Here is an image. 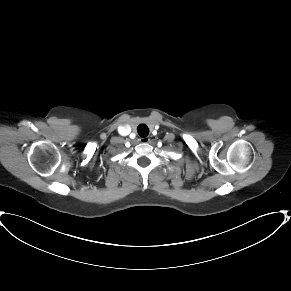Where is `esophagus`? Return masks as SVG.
<instances>
[{
  "label": "esophagus",
  "instance_id": "1",
  "mask_svg": "<svg viewBox=\"0 0 291 291\" xmlns=\"http://www.w3.org/2000/svg\"><path fill=\"white\" fill-rule=\"evenodd\" d=\"M139 141L141 143H148L150 141V138L149 137H142V138L139 139Z\"/></svg>",
  "mask_w": 291,
  "mask_h": 291
}]
</instances>
